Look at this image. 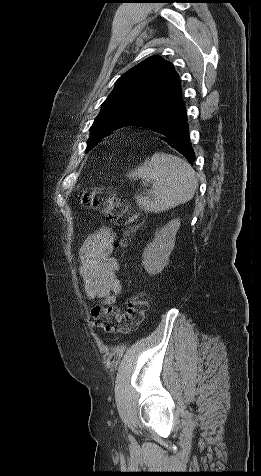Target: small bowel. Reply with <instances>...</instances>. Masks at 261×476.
Here are the masks:
<instances>
[{"instance_id":"c3829d8e","label":"small bowel","mask_w":261,"mask_h":476,"mask_svg":"<svg viewBox=\"0 0 261 476\" xmlns=\"http://www.w3.org/2000/svg\"><path fill=\"white\" fill-rule=\"evenodd\" d=\"M115 232L100 228L89 236L80 249V275L86 295L112 304L122 286L116 276L117 260L112 256Z\"/></svg>"}]
</instances>
